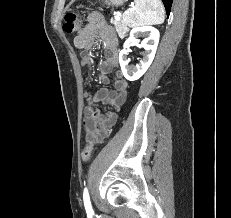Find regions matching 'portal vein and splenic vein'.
<instances>
[{"mask_svg":"<svg viewBox=\"0 0 231 218\" xmlns=\"http://www.w3.org/2000/svg\"><path fill=\"white\" fill-rule=\"evenodd\" d=\"M120 17H121V15H120V14L115 15V20H119V19H120Z\"/></svg>","mask_w":231,"mask_h":218,"instance_id":"1","label":"portal vein and splenic vein"}]
</instances>
